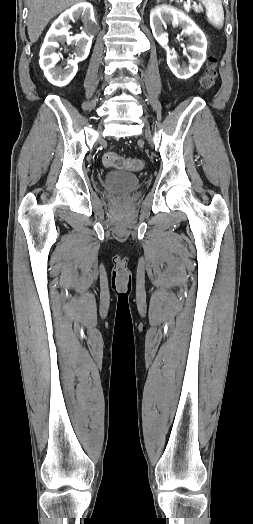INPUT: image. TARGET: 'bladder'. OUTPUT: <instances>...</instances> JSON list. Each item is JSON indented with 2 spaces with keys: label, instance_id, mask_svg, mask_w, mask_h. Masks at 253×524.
<instances>
[{
  "label": "bladder",
  "instance_id": "obj_1",
  "mask_svg": "<svg viewBox=\"0 0 253 524\" xmlns=\"http://www.w3.org/2000/svg\"><path fill=\"white\" fill-rule=\"evenodd\" d=\"M103 185L106 189L116 193H129L141 186L140 179L125 171H111L105 174Z\"/></svg>",
  "mask_w": 253,
  "mask_h": 524
}]
</instances>
